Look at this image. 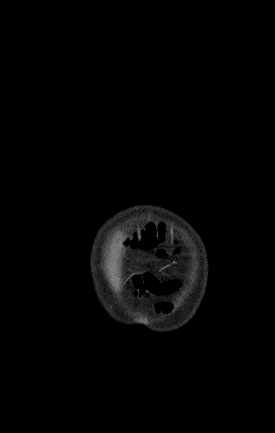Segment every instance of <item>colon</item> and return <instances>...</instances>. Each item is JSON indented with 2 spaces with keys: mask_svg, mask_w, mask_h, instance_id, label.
Listing matches in <instances>:
<instances>
[{
  "mask_svg": "<svg viewBox=\"0 0 275 433\" xmlns=\"http://www.w3.org/2000/svg\"><path fill=\"white\" fill-rule=\"evenodd\" d=\"M163 232L161 226L150 225L143 231L140 238L131 239L129 244L134 247L151 248L162 240Z\"/></svg>",
  "mask_w": 275,
  "mask_h": 433,
  "instance_id": "obj_1",
  "label": "colon"
}]
</instances>
